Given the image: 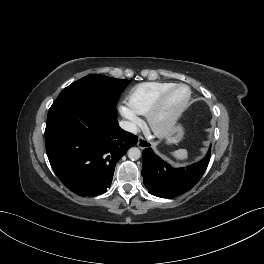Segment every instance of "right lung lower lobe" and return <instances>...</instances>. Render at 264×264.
Returning a JSON list of instances; mask_svg holds the SVG:
<instances>
[{"label": "right lung lower lobe", "mask_w": 264, "mask_h": 264, "mask_svg": "<svg viewBox=\"0 0 264 264\" xmlns=\"http://www.w3.org/2000/svg\"><path fill=\"white\" fill-rule=\"evenodd\" d=\"M118 126L116 107L84 102L46 124V151L52 169L72 192L105 193L118 160L137 143Z\"/></svg>", "instance_id": "obj_1"}]
</instances>
